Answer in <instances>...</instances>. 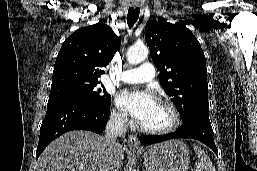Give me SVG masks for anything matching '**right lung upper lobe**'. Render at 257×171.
<instances>
[{
    "label": "right lung upper lobe",
    "mask_w": 257,
    "mask_h": 171,
    "mask_svg": "<svg viewBox=\"0 0 257 171\" xmlns=\"http://www.w3.org/2000/svg\"><path fill=\"white\" fill-rule=\"evenodd\" d=\"M121 39L103 22L82 27L62 44L56 58L51 89L71 83L98 82Z\"/></svg>",
    "instance_id": "cb5924a9"
}]
</instances>
